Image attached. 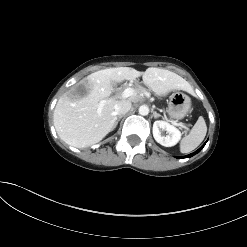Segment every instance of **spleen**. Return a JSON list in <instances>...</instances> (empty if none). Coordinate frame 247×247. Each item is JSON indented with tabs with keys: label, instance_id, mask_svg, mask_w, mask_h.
<instances>
[{
	"label": "spleen",
	"instance_id": "obj_1",
	"mask_svg": "<svg viewBox=\"0 0 247 247\" xmlns=\"http://www.w3.org/2000/svg\"><path fill=\"white\" fill-rule=\"evenodd\" d=\"M207 133V126L205 120L200 116L191 129L190 133L183 137L180 142V152L189 153L197 148L204 140Z\"/></svg>",
	"mask_w": 247,
	"mask_h": 247
}]
</instances>
